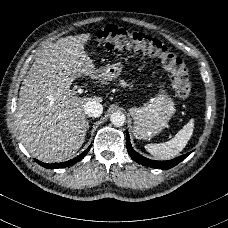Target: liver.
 I'll use <instances>...</instances> for the list:
<instances>
[{
	"mask_svg": "<svg viewBox=\"0 0 228 228\" xmlns=\"http://www.w3.org/2000/svg\"><path fill=\"white\" fill-rule=\"evenodd\" d=\"M92 33L62 38L44 47L24 78L16 110L20 140L29 153L44 162L72 157L86 138L87 101L72 87L76 77L98 82V69L86 45Z\"/></svg>",
	"mask_w": 228,
	"mask_h": 228,
	"instance_id": "liver-1",
	"label": "liver"
}]
</instances>
